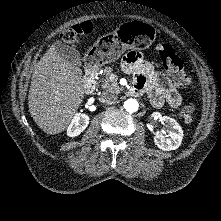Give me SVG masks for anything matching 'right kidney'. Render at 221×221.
Segmentation results:
<instances>
[{
	"label": "right kidney",
	"instance_id": "right-kidney-1",
	"mask_svg": "<svg viewBox=\"0 0 221 221\" xmlns=\"http://www.w3.org/2000/svg\"><path fill=\"white\" fill-rule=\"evenodd\" d=\"M89 124V117L86 114L78 113L68 126L67 135L76 137L81 134Z\"/></svg>",
	"mask_w": 221,
	"mask_h": 221
}]
</instances>
